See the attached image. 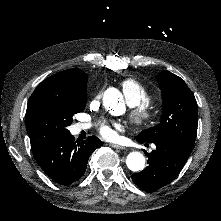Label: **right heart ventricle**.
Here are the masks:
<instances>
[{"instance_id": "obj_1", "label": "right heart ventricle", "mask_w": 221, "mask_h": 221, "mask_svg": "<svg viewBox=\"0 0 221 221\" xmlns=\"http://www.w3.org/2000/svg\"><path fill=\"white\" fill-rule=\"evenodd\" d=\"M154 93L145 87H140L139 94L133 99L136 106L146 105L153 98Z\"/></svg>"}]
</instances>
